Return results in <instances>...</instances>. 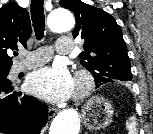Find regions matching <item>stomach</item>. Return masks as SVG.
<instances>
[{"mask_svg":"<svg viewBox=\"0 0 153 134\" xmlns=\"http://www.w3.org/2000/svg\"><path fill=\"white\" fill-rule=\"evenodd\" d=\"M113 112V107L107 100L98 96L92 97L82 109L84 126L89 130L104 129L112 122Z\"/></svg>","mask_w":153,"mask_h":134,"instance_id":"0dacf381","label":"stomach"}]
</instances>
